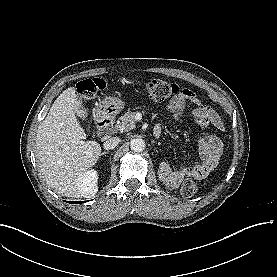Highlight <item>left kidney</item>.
<instances>
[{
  "label": "left kidney",
  "instance_id": "1",
  "mask_svg": "<svg viewBox=\"0 0 277 277\" xmlns=\"http://www.w3.org/2000/svg\"><path fill=\"white\" fill-rule=\"evenodd\" d=\"M159 179L167 185L178 184L183 178L180 172H172L166 162H161L158 169Z\"/></svg>",
  "mask_w": 277,
  "mask_h": 277
}]
</instances>
